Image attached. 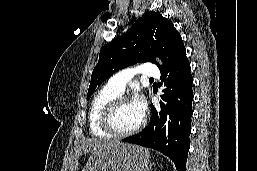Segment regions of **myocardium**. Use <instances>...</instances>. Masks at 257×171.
<instances>
[{
    "mask_svg": "<svg viewBox=\"0 0 257 171\" xmlns=\"http://www.w3.org/2000/svg\"><path fill=\"white\" fill-rule=\"evenodd\" d=\"M127 102H131V100L126 97V96H118L117 98L111 100L103 109L102 114H101V127L102 129L107 132L108 134H110L113 137H117V138H123V137H127V136H131L133 134H136L137 132H139L145 125L146 123V118L145 116L142 117V120L140 121V123L127 131H119L117 130L114 125H113V115L116 111V109Z\"/></svg>",
    "mask_w": 257,
    "mask_h": 171,
    "instance_id": "1",
    "label": "myocardium"
}]
</instances>
